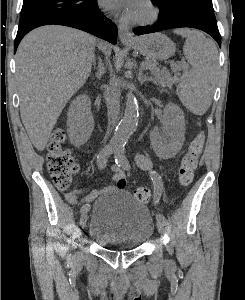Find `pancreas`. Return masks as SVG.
I'll return each instance as SVG.
<instances>
[{
    "mask_svg": "<svg viewBox=\"0 0 245 300\" xmlns=\"http://www.w3.org/2000/svg\"><path fill=\"white\" fill-rule=\"evenodd\" d=\"M145 62L149 64L148 68L150 69L152 74L151 80L155 84L161 85L162 87H171L174 83L178 81L177 75L172 77L168 71L161 70L160 68H158L157 63L155 61L147 60ZM175 69L179 70V66H175Z\"/></svg>",
    "mask_w": 245,
    "mask_h": 300,
    "instance_id": "pancreas-1",
    "label": "pancreas"
}]
</instances>
